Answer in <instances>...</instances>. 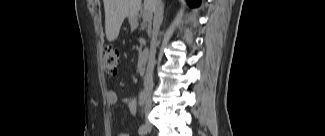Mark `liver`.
<instances>
[{
  "label": "liver",
  "mask_w": 325,
  "mask_h": 136,
  "mask_svg": "<svg viewBox=\"0 0 325 136\" xmlns=\"http://www.w3.org/2000/svg\"><path fill=\"white\" fill-rule=\"evenodd\" d=\"M105 10V32L109 42L117 39L126 17L137 18L142 0H103ZM145 8L152 12L150 0H145Z\"/></svg>",
  "instance_id": "6515ba94"
}]
</instances>
